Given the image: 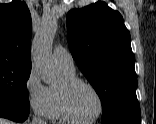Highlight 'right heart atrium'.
Returning <instances> with one entry per match:
<instances>
[{
	"label": "right heart atrium",
	"mask_w": 156,
	"mask_h": 124,
	"mask_svg": "<svg viewBox=\"0 0 156 124\" xmlns=\"http://www.w3.org/2000/svg\"><path fill=\"white\" fill-rule=\"evenodd\" d=\"M25 93L29 107L40 117L50 116L51 99L49 87L45 86L38 73L31 68L25 81Z\"/></svg>",
	"instance_id": "obj_1"
}]
</instances>
